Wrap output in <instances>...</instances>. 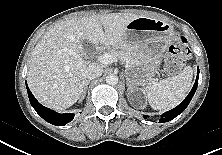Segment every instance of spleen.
I'll use <instances>...</instances> for the list:
<instances>
[{
	"instance_id": "spleen-1",
	"label": "spleen",
	"mask_w": 222,
	"mask_h": 155,
	"mask_svg": "<svg viewBox=\"0 0 222 155\" xmlns=\"http://www.w3.org/2000/svg\"><path fill=\"white\" fill-rule=\"evenodd\" d=\"M193 78L190 65L173 77L163 79L145 87V95L154 110L166 111L180 104L187 96Z\"/></svg>"
}]
</instances>
